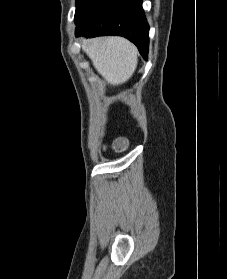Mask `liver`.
<instances>
[{
    "label": "liver",
    "mask_w": 227,
    "mask_h": 279,
    "mask_svg": "<svg viewBox=\"0 0 227 279\" xmlns=\"http://www.w3.org/2000/svg\"><path fill=\"white\" fill-rule=\"evenodd\" d=\"M82 49L110 85L125 83L136 70L138 50L125 38L98 37L82 40Z\"/></svg>",
    "instance_id": "obj_1"
}]
</instances>
